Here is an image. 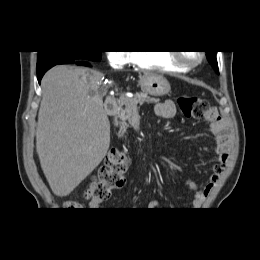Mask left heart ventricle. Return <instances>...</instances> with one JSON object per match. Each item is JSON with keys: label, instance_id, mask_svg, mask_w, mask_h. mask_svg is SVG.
<instances>
[{"label": "left heart ventricle", "instance_id": "b2bd125f", "mask_svg": "<svg viewBox=\"0 0 260 260\" xmlns=\"http://www.w3.org/2000/svg\"><path fill=\"white\" fill-rule=\"evenodd\" d=\"M185 56L193 59L197 56V54H196V52H188V53H185Z\"/></svg>", "mask_w": 260, "mask_h": 260}]
</instances>
